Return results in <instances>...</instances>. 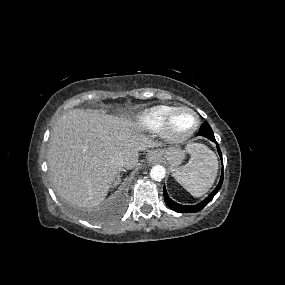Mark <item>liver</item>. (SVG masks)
<instances>
[{
	"mask_svg": "<svg viewBox=\"0 0 285 285\" xmlns=\"http://www.w3.org/2000/svg\"><path fill=\"white\" fill-rule=\"evenodd\" d=\"M156 145L128 118L74 109L56 122L50 137L48 163L57 193L73 205L93 209L102 204L118 168L137 165L139 151Z\"/></svg>",
	"mask_w": 285,
	"mask_h": 285,
	"instance_id": "1",
	"label": "liver"
}]
</instances>
